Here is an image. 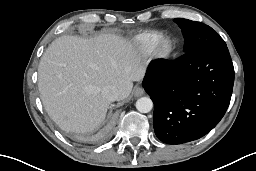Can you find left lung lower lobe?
I'll return each mask as SVG.
<instances>
[{
    "label": "left lung lower lobe",
    "instance_id": "obj_1",
    "mask_svg": "<svg viewBox=\"0 0 256 171\" xmlns=\"http://www.w3.org/2000/svg\"><path fill=\"white\" fill-rule=\"evenodd\" d=\"M233 83L226 44L196 47L173 62L153 60L142 85L154 102L156 136L182 144L207 134L224 116Z\"/></svg>",
    "mask_w": 256,
    "mask_h": 171
}]
</instances>
